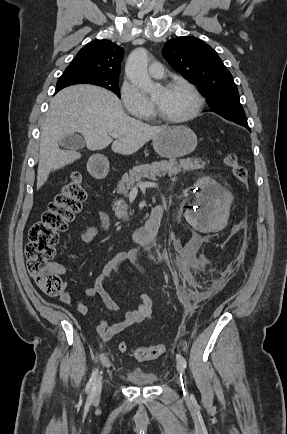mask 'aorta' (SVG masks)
<instances>
[{"label": "aorta", "mask_w": 287, "mask_h": 434, "mask_svg": "<svg viewBox=\"0 0 287 434\" xmlns=\"http://www.w3.org/2000/svg\"><path fill=\"white\" fill-rule=\"evenodd\" d=\"M148 52L145 48H137L131 52L125 66V73L129 80L140 90L152 92L155 88L147 71Z\"/></svg>", "instance_id": "1"}]
</instances>
